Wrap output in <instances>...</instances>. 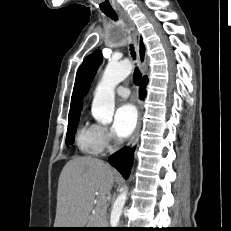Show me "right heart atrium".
<instances>
[{
    "label": "right heart atrium",
    "mask_w": 231,
    "mask_h": 231,
    "mask_svg": "<svg viewBox=\"0 0 231 231\" xmlns=\"http://www.w3.org/2000/svg\"><path fill=\"white\" fill-rule=\"evenodd\" d=\"M99 127V137L104 149H112L116 143V139L112 131L105 126Z\"/></svg>",
    "instance_id": "d8ad5b80"
}]
</instances>
